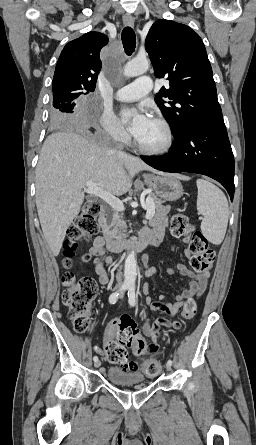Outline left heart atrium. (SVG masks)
I'll return each mask as SVG.
<instances>
[{
	"instance_id": "obj_1",
	"label": "left heart atrium",
	"mask_w": 256,
	"mask_h": 445,
	"mask_svg": "<svg viewBox=\"0 0 256 445\" xmlns=\"http://www.w3.org/2000/svg\"><path fill=\"white\" fill-rule=\"evenodd\" d=\"M122 116L129 120L128 130L134 137H138L152 120L142 108L127 109Z\"/></svg>"
}]
</instances>
